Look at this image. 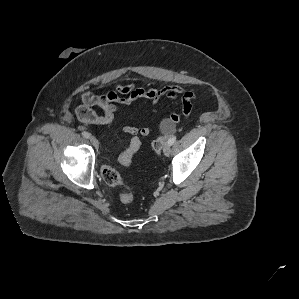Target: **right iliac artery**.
<instances>
[{
	"mask_svg": "<svg viewBox=\"0 0 299 299\" xmlns=\"http://www.w3.org/2000/svg\"><path fill=\"white\" fill-rule=\"evenodd\" d=\"M82 136L87 139V138L90 137V133H88V132H82Z\"/></svg>",
	"mask_w": 299,
	"mask_h": 299,
	"instance_id": "82829eb1",
	"label": "right iliac artery"
}]
</instances>
